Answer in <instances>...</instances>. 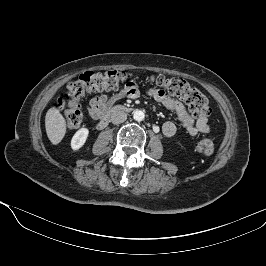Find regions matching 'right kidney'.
I'll return each instance as SVG.
<instances>
[{"label":"right kidney","mask_w":266,"mask_h":266,"mask_svg":"<svg viewBox=\"0 0 266 266\" xmlns=\"http://www.w3.org/2000/svg\"><path fill=\"white\" fill-rule=\"evenodd\" d=\"M88 134L87 128H81L74 134L71 140V147L74 151L79 150L85 144Z\"/></svg>","instance_id":"obj_1"}]
</instances>
